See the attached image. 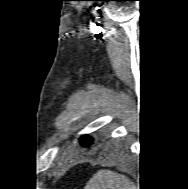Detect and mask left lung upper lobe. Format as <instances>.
<instances>
[{
	"label": "left lung upper lobe",
	"mask_w": 188,
	"mask_h": 189,
	"mask_svg": "<svg viewBox=\"0 0 188 189\" xmlns=\"http://www.w3.org/2000/svg\"><path fill=\"white\" fill-rule=\"evenodd\" d=\"M91 141L92 139L88 137L87 135H84V137L81 138V142H83L82 145L89 146V144L92 143Z\"/></svg>",
	"instance_id": "obj_1"
}]
</instances>
